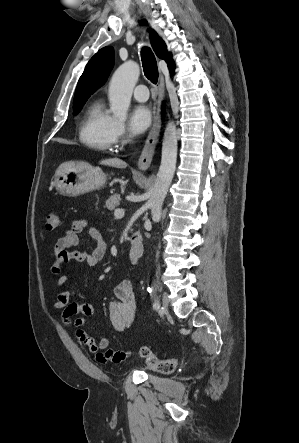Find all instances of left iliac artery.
<instances>
[{"instance_id":"44dca946","label":"left iliac artery","mask_w":299,"mask_h":443,"mask_svg":"<svg viewBox=\"0 0 299 443\" xmlns=\"http://www.w3.org/2000/svg\"><path fill=\"white\" fill-rule=\"evenodd\" d=\"M159 307H160V303H159V301L157 300V301L154 302V304H153V308H154V309H159Z\"/></svg>"}]
</instances>
